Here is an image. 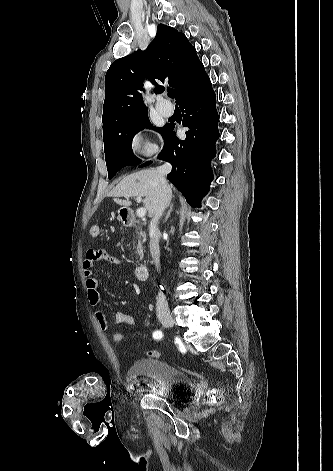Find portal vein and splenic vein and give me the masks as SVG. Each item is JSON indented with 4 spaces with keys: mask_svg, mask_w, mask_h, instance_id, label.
Here are the masks:
<instances>
[{
    "mask_svg": "<svg viewBox=\"0 0 333 471\" xmlns=\"http://www.w3.org/2000/svg\"><path fill=\"white\" fill-rule=\"evenodd\" d=\"M142 196H137V202H141ZM138 217H144L146 215V209L145 208H138L136 212Z\"/></svg>",
    "mask_w": 333,
    "mask_h": 471,
    "instance_id": "18ae733b",
    "label": "portal vein and splenic vein"
}]
</instances>
